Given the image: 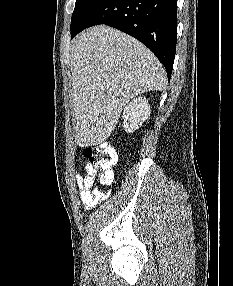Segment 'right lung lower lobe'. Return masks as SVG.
Masks as SVG:
<instances>
[{
	"mask_svg": "<svg viewBox=\"0 0 233 286\" xmlns=\"http://www.w3.org/2000/svg\"><path fill=\"white\" fill-rule=\"evenodd\" d=\"M98 24L117 28L141 41L164 65L170 79L177 42V0H92L70 28L71 38Z\"/></svg>",
	"mask_w": 233,
	"mask_h": 286,
	"instance_id": "1",
	"label": "right lung lower lobe"
}]
</instances>
